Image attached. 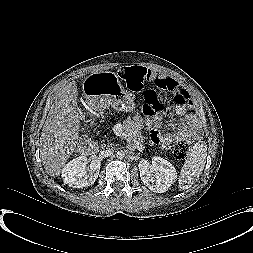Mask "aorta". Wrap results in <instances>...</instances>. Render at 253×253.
I'll return each instance as SVG.
<instances>
[{"label":"aorta","mask_w":253,"mask_h":253,"mask_svg":"<svg viewBox=\"0 0 253 253\" xmlns=\"http://www.w3.org/2000/svg\"><path fill=\"white\" fill-rule=\"evenodd\" d=\"M124 155H125V154H124L122 151H119V152L117 153V157H118V158H123Z\"/></svg>","instance_id":"762f6f07"}]
</instances>
